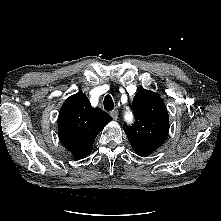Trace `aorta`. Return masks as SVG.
Here are the masks:
<instances>
[{"label": "aorta", "mask_w": 221, "mask_h": 221, "mask_svg": "<svg viewBox=\"0 0 221 221\" xmlns=\"http://www.w3.org/2000/svg\"><path fill=\"white\" fill-rule=\"evenodd\" d=\"M124 118H125L126 121H128V122H129V121H132V118H133L132 112H130V111L125 112Z\"/></svg>", "instance_id": "762f6f07"}]
</instances>
